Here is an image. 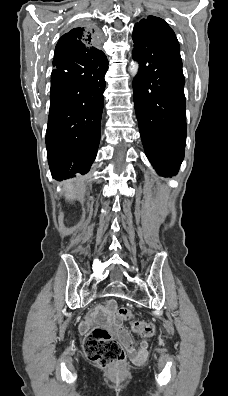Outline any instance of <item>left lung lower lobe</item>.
<instances>
[{"mask_svg":"<svg viewBox=\"0 0 228 396\" xmlns=\"http://www.w3.org/2000/svg\"><path fill=\"white\" fill-rule=\"evenodd\" d=\"M132 38L140 69L134 104L145 154L160 175L171 177L184 158L187 134L180 47L156 37Z\"/></svg>","mask_w":228,"mask_h":396,"instance_id":"1","label":"left lung lower lobe"}]
</instances>
